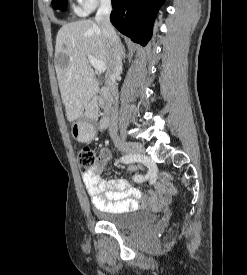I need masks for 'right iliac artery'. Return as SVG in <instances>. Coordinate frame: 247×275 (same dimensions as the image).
Returning <instances> with one entry per match:
<instances>
[{"mask_svg": "<svg viewBox=\"0 0 247 275\" xmlns=\"http://www.w3.org/2000/svg\"><path fill=\"white\" fill-rule=\"evenodd\" d=\"M120 161L126 164L134 163V162H143V164H146L147 173L145 176L142 175H136L134 177L135 182H142L145 179L146 180H155L157 174L159 173V170L157 168V164H152V159L149 157H146L145 154H127L120 158Z\"/></svg>", "mask_w": 247, "mask_h": 275, "instance_id": "right-iliac-artery-1", "label": "right iliac artery"}]
</instances>
